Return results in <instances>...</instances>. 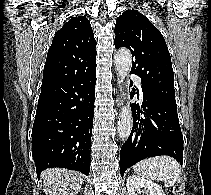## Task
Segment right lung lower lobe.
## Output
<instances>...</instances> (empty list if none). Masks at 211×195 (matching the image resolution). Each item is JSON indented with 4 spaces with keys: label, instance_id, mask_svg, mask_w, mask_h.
Here are the masks:
<instances>
[{
    "label": "right lung lower lobe",
    "instance_id": "98d812e1",
    "mask_svg": "<svg viewBox=\"0 0 211 195\" xmlns=\"http://www.w3.org/2000/svg\"><path fill=\"white\" fill-rule=\"evenodd\" d=\"M96 66L80 75L43 85L32 128L38 178L46 168L90 171Z\"/></svg>",
    "mask_w": 211,
    "mask_h": 195
}]
</instances>
